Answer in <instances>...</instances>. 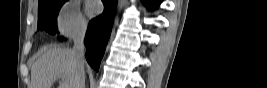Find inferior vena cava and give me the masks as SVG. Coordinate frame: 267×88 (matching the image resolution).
Returning <instances> with one entry per match:
<instances>
[{"mask_svg":"<svg viewBox=\"0 0 267 88\" xmlns=\"http://www.w3.org/2000/svg\"><path fill=\"white\" fill-rule=\"evenodd\" d=\"M86 33V26L83 25L73 35L74 47L72 49L75 55L77 65V86L76 88H85V71H84V38Z\"/></svg>","mask_w":267,"mask_h":88,"instance_id":"1","label":"inferior vena cava"}]
</instances>
